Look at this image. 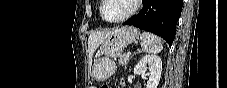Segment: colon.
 <instances>
[{"mask_svg":"<svg viewBox=\"0 0 227 88\" xmlns=\"http://www.w3.org/2000/svg\"><path fill=\"white\" fill-rule=\"evenodd\" d=\"M94 88V87H93ZM101 88H108V86H102Z\"/></svg>","mask_w":227,"mask_h":88,"instance_id":"5ec220e1","label":"colon"}]
</instances>
